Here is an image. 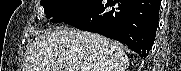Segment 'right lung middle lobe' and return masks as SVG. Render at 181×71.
I'll list each match as a JSON object with an SVG mask.
<instances>
[{"instance_id":"right-lung-middle-lobe-1","label":"right lung middle lobe","mask_w":181,"mask_h":71,"mask_svg":"<svg viewBox=\"0 0 181 71\" xmlns=\"http://www.w3.org/2000/svg\"><path fill=\"white\" fill-rule=\"evenodd\" d=\"M95 0H41L47 18H51L53 23L63 22L75 16Z\"/></svg>"}]
</instances>
